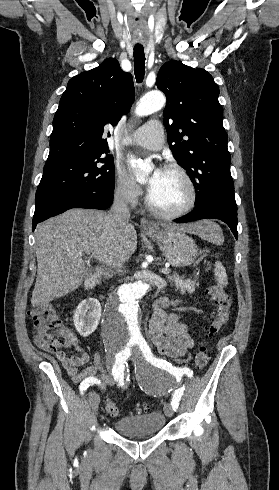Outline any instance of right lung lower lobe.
Wrapping results in <instances>:
<instances>
[{
    "mask_svg": "<svg viewBox=\"0 0 279 490\" xmlns=\"http://www.w3.org/2000/svg\"><path fill=\"white\" fill-rule=\"evenodd\" d=\"M113 201V194H97L85 191L47 193L35 200L32 230L39 222L63 213L71 208L107 209Z\"/></svg>",
    "mask_w": 279,
    "mask_h": 490,
    "instance_id": "right-lung-lower-lobe-1",
    "label": "right lung lower lobe"
}]
</instances>
